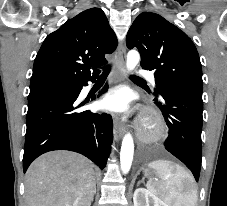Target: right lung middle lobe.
I'll use <instances>...</instances> for the list:
<instances>
[{"label":"right lung middle lobe","instance_id":"obj_1","mask_svg":"<svg viewBox=\"0 0 227 206\" xmlns=\"http://www.w3.org/2000/svg\"><path fill=\"white\" fill-rule=\"evenodd\" d=\"M78 84L60 80H43L30 84L28 100L44 95H67L76 92Z\"/></svg>","mask_w":227,"mask_h":206}]
</instances>
